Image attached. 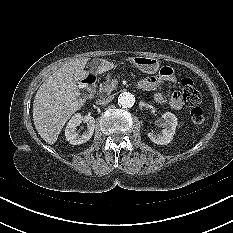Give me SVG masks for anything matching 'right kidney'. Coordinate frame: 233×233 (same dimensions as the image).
Returning a JSON list of instances; mask_svg holds the SVG:
<instances>
[{"instance_id":"right-kidney-1","label":"right kidney","mask_w":233,"mask_h":233,"mask_svg":"<svg viewBox=\"0 0 233 233\" xmlns=\"http://www.w3.org/2000/svg\"><path fill=\"white\" fill-rule=\"evenodd\" d=\"M87 123V130L80 134L77 131V127L82 123ZM95 129V119L92 116H82L81 114H75L68 122L65 129L66 140L73 145H79L86 143L93 135Z\"/></svg>"}]
</instances>
